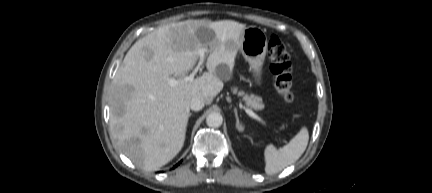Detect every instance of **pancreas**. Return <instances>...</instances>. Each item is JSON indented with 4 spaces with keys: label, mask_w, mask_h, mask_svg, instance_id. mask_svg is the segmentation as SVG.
Listing matches in <instances>:
<instances>
[{
    "label": "pancreas",
    "mask_w": 432,
    "mask_h": 193,
    "mask_svg": "<svg viewBox=\"0 0 432 193\" xmlns=\"http://www.w3.org/2000/svg\"><path fill=\"white\" fill-rule=\"evenodd\" d=\"M234 93H237V89L234 88L232 90ZM239 96H242L243 101H245L246 106L253 108L254 110H262L264 105L262 104V98L259 96H255L254 94H245L243 91L238 92Z\"/></svg>",
    "instance_id": "obj_1"
}]
</instances>
